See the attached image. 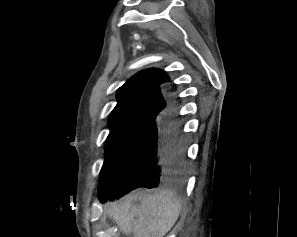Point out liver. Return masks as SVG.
<instances>
[{
    "instance_id": "liver-1",
    "label": "liver",
    "mask_w": 297,
    "mask_h": 237,
    "mask_svg": "<svg viewBox=\"0 0 297 237\" xmlns=\"http://www.w3.org/2000/svg\"><path fill=\"white\" fill-rule=\"evenodd\" d=\"M104 210L126 236L164 237L180 215L181 201L169 190H138L107 203Z\"/></svg>"
}]
</instances>
